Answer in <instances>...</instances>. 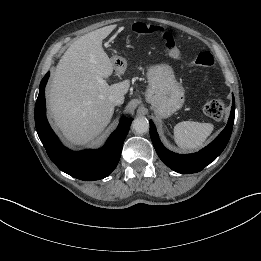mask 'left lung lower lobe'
I'll use <instances>...</instances> for the list:
<instances>
[{
  "instance_id": "1",
  "label": "left lung lower lobe",
  "mask_w": 261,
  "mask_h": 261,
  "mask_svg": "<svg viewBox=\"0 0 261 261\" xmlns=\"http://www.w3.org/2000/svg\"><path fill=\"white\" fill-rule=\"evenodd\" d=\"M234 116L233 97L230 117L224 130L208 146L193 154L180 155L167 150L161 143L152 120H150V137L158 156L172 170L183 174L196 173L213 162L224 150L231 136Z\"/></svg>"
}]
</instances>
